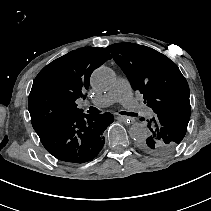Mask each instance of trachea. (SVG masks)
Wrapping results in <instances>:
<instances>
[{
  "label": "trachea",
  "instance_id": "1",
  "mask_svg": "<svg viewBox=\"0 0 211 211\" xmlns=\"http://www.w3.org/2000/svg\"><path fill=\"white\" fill-rule=\"evenodd\" d=\"M97 109V108H96ZM98 110V109H97ZM119 114H122V115H128V116H137L136 113H130V112H125V111H121L119 112Z\"/></svg>",
  "mask_w": 211,
  "mask_h": 211
}]
</instances>
